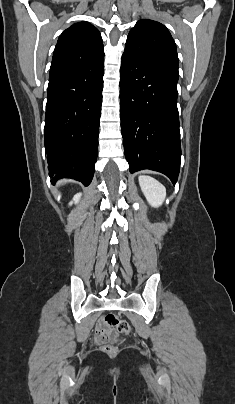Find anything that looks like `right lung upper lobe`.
Returning a JSON list of instances; mask_svg holds the SVG:
<instances>
[{
  "label": "right lung upper lobe",
  "mask_w": 235,
  "mask_h": 404,
  "mask_svg": "<svg viewBox=\"0 0 235 404\" xmlns=\"http://www.w3.org/2000/svg\"><path fill=\"white\" fill-rule=\"evenodd\" d=\"M102 60H104V50L99 31L88 22H79L60 35L50 71L97 63Z\"/></svg>",
  "instance_id": "1"
}]
</instances>
